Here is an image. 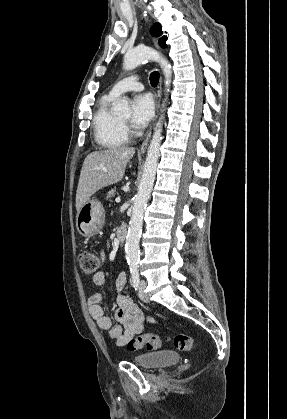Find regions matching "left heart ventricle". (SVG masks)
<instances>
[{"label": "left heart ventricle", "instance_id": "1", "mask_svg": "<svg viewBox=\"0 0 287 419\" xmlns=\"http://www.w3.org/2000/svg\"><path fill=\"white\" fill-rule=\"evenodd\" d=\"M120 119H121L122 121H126V120L128 119V117H127V116H122V117H120Z\"/></svg>", "mask_w": 287, "mask_h": 419}]
</instances>
